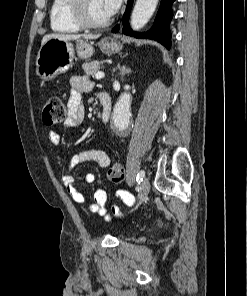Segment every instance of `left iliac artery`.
I'll use <instances>...</instances> for the list:
<instances>
[{"instance_id":"left-iliac-artery-1","label":"left iliac artery","mask_w":247,"mask_h":296,"mask_svg":"<svg viewBox=\"0 0 247 296\" xmlns=\"http://www.w3.org/2000/svg\"><path fill=\"white\" fill-rule=\"evenodd\" d=\"M145 177V172L143 170H141L136 177V180L140 183L141 181H143V178Z\"/></svg>"}]
</instances>
